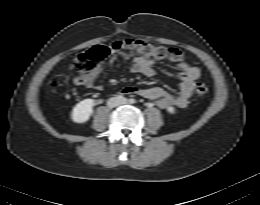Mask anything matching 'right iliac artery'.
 Segmentation results:
<instances>
[{
	"label": "right iliac artery",
	"instance_id": "right-iliac-artery-1",
	"mask_svg": "<svg viewBox=\"0 0 260 205\" xmlns=\"http://www.w3.org/2000/svg\"><path fill=\"white\" fill-rule=\"evenodd\" d=\"M118 100H123L124 99V97L122 96V95H117V97H116Z\"/></svg>",
	"mask_w": 260,
	"mask_h": 205
}]
</instances>
